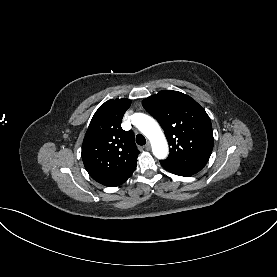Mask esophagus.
<instances>
[{"instance_id":"34e87169","label":"esophagus","mask_w":277,"mask_h":277,"mask_svg":"<svg viewBox=\"0 0 277 277\" xmlns=\"http://www.w3.org/2000/svg\"><path fill=\"white\" fill-rule=\"evenodd\" d=\"M144 148L146 150H150L151 149V144L149 142H147L146 145L144 146Z\"/></svg>"}]
</instances>
